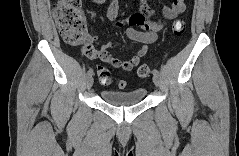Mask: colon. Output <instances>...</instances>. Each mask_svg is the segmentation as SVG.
<instances>
[{"label": "colon", "mask_w": 239, "mask_h": 156, "mask_svg": "<svg viewBox=\"0 0 239 156\" xmlns=\"http://www.w3.org/2000/svg\"><path fill=\"white\" fill-rule=\"evenodd\" d=\"M54 16L57 26L64 38V41L71 46L86 45L89 37L87 34L84 11L79 0H59L54 4ZM185 23L182 20H177L172 26V33L179 37L184 34ZM150 66L147 64L141 65L137 74L140 78H145L150 74ZM99 81L103 84H109L112 81L109 70L104 66L97 68ZM119 88L126 86L125 81L117 82Z\"/></svg>", "instance_id": "obj_1"}]
</instances>
